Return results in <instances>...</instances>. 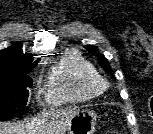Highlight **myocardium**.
Wrapping results in <instances>:
<instances>
[{"label": "myocardium", "instance_id": "myocardium-1", "mask_svg": "<svg viewBox=\"0 0 153 134\" xmlns=\"http://www.w3.org/2000/svg\"><path fill=\"white\" fill-rule=\"evenodd\" d=\"M97 85L100 88V90L102 91L108 87V82L105 78H103L99 75V77L97 78Z\"/></svg>", "mask_w": 153, "mask_h": 134}]
</instances>
